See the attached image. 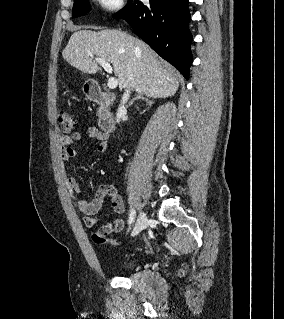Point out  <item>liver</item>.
Instances as JSON below:
<instances>
[{
	"mask_svg": "<svg viewBox=\"0 0 284 319\" xmlns=\"http://www.w3.org/2000/svg\"><path fill=\"white\" fill-rule=\"evenodd\" d=\"M64 60L87 74L100 70L94 57L111 63L120 90L135 89L147 97L165 98L179 87L175 69L141 39L118 30H79L74 32L62 52Z\"/></svg>",
	"mask_w": 284,
	"mask_h": 319,
	"instance_id": "6515ba94",
	"label": "liver"
}]
</instances>
